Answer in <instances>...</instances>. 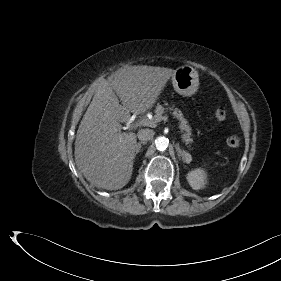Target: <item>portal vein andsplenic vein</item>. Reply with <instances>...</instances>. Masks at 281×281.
<instances>
[{"mask_svg": "<svg viewBox=\"0 0 281 281\" xmlns=\"http://www.w3.org/2000/svg\"><path fill=\"white\" fill-rule=\"evenodd\" d=\"M162 120L167 121L168 117L163 116ZM151 126V127H155L156 126V122L154 120H149V119H142L139 123L136 124V126Z\"/></svg>", "mask_w": 281, "mask_h": 281, "instance_id": "obj_1", "label": "portal vein and splenic vein"}]
</instances>
